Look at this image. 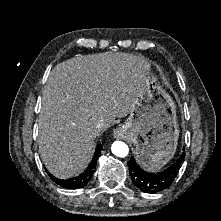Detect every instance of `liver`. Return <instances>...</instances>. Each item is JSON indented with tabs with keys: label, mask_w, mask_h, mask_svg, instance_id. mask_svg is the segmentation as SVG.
<instances>
[{
	"label": "liver",
	"mask_w": 221,
	"mask_h": 221,
	"mask_svg": "<svg viewBox=\"0 0 221 221\" xmlns=\"http://www.w3.org/2000/svg\"><path fill=\"white\" fill-rule=\"evenodd\" d=\"M149 63L142 55H79L51 71L38 120L39 152L54 176L67 179L90 162L99 121L106 130L126 117L142 88Z\"/></svg>",
	"instance_id": "1"
}]
</instances>
